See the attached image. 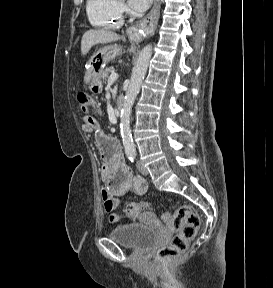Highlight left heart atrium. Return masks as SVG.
<instances>
[{"mask_svg":"<svg viewBox=\"0 0 273 288\" xmlns=\"http://www.w3.org/2000/svg\"><path fill=\"white\" fill-rule=\"evenodd\" d=\"M152 0H128L129 6L136 12L145 11L151 4Z\"/></svg>","mask_w":273,"mask_h":288,"instance_id":"39dd6f15","label":"left heart atrium"}]
</instances>
